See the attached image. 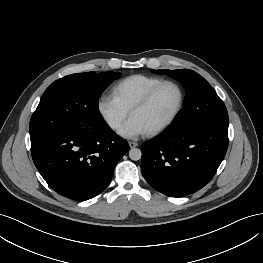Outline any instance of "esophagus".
Here are the masks:
<instances>
[{"instance_id": "obj_1", "label": "esophagus", "mask_w": 263, "mask_h": 263, "mask_svg": "<svg viewBox=\"0 0 263 263\" xmlns=\"http://www.w3.org/2000/svg\"><path fill=\"white\" fill-rule=\"evenodd\" d=\"M129 146H130V148H134V147H137V146H138V143H137V142H134V141H130V142H129Z\"/></svg>"}]
</instances>
